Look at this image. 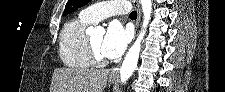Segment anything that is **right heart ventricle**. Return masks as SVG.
Masks as SVG:
<instances>
[{"instance_id":"obj_1","label":"right heart ventricle","mask_w":225,"mask_h":92,"mask_svg":"<svg viewBox=\"0 0 225 92\" xmlns=\"http://www.w3.org/2000/svg\"><path fill=\"white\" fill-rule=\"evenodd\" d=\"M91 24L80 15L70 19L62 28L58 53L65 65L79 69H87L92 65L86 35V29Z\"/></svg>"}]
</instances>
